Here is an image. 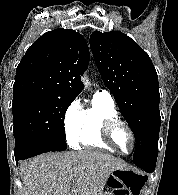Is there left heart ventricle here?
<instances>
[{"label":"left heart ventricle","mask_w":178,"mask_h":195,"mask_svg":"<svg viewBox=\"0 0 178 195\" xmlns=\"http://www.w3.org/2000/svg\"><path fill=\"white\" fill-rule=\"evenodd\" d=\"M113 141L115 145L124 152H128L132 147L131 136L128 131L122 126H119L114 131Z\"/></svg>","instance_id":"obj_1"}]
</instances>
